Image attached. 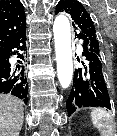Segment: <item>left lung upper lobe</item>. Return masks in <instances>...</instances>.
<instances>
[{
    "instance_id": "obj_1",
    "label": "left lung upper lobe",
    "mask_w": 117,
    "mask_h": 136,
    "mask_svg": "<svg viewBox=\"0 0 117 136\" xmlns=\"http://www.w3.org/2000/svg\"><path fill=\"white\" fill-rule=\"evenodd\" d=\"M63 11L71 15L75 32H78L77 35L86 39L90 51L101 58L96 29L85 7L80 2L75 0H60L56 6V14Z\"/></svg>"
}]
</instances>
